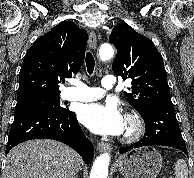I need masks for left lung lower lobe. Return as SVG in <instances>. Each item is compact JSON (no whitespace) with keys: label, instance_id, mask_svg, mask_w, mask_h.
Returning <instances> with one entry per match:
<instances>
[{"label":"left lung lower lobe","instance_id":"obj_1","mask_svg":"<svg viewBox=\"0 0 194 178\" xmlns=\"http://www.w3.org/2000/svg\"><path fill=\"white\" fill-rule=\"evenodd\" d=\"M139 113L144 119L146 133L137 143L121 147L120 154L143 146L162 145L174 147L188 155L173 104L146 106Z\"/></svg>","mask_w":194,"mask_h":178}]
</instances>
